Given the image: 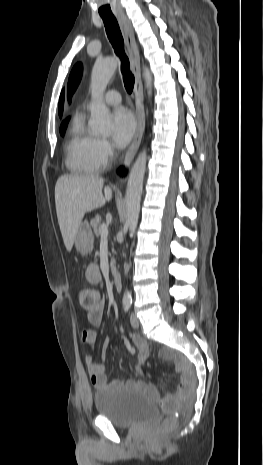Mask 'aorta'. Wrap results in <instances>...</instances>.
Returning <instances> with one entry per match:
<instances>
[{
  "label": "aorta",
  "mask_w": 263,
  "mask_h": 465,
  "mask_svg": "<svg viewBox=\"0 0 263 465\" xmlns=\"http://www.w3.org/2000/svg\"><path fill=\"white\" fill-rule=\"evenodd\" d=\"M118 60L114 57L96 61L91 74V97L90 104L91 117L89 126L95 134H109L112 130L110 112L103 100V93L111 77L116 71ZM144 79L148 96L152 95V75L147 67H144ZM147 152L144 149L137 157L127 183L125 196L127 208V225L130 237L133 236L137 228L140 202L143 189V180L146 170ZM132 298L128 291L124 293L123 301L131 302Z\"/></svg>",
  "instance_id": "aorta-1"
}]
</instances>
